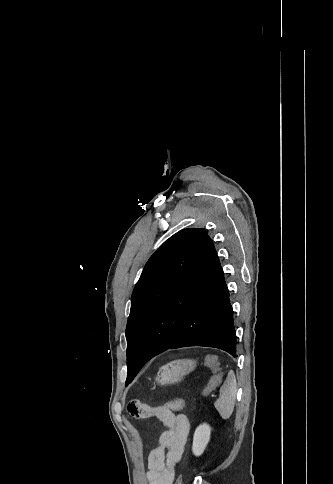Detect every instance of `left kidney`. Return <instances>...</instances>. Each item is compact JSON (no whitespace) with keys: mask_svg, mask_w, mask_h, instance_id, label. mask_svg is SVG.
I'll list each match as a JSON object with an SVG mask.
<instances>
[{"mask_svg":"<svg viewBox=\"0 0 333 484\" xmlns=\"http://www.w3.org/2000/svg\"><path fill=\"white\" fill-rule=\"evenodd\" d=\"M210 434L211 427L208 424L204 423L197 427L192 444V451L195 456H200L204 452L210 440Z\"/></svg>","mask_w":333,"mask_h":484,"instance_id":"1","label":"left kidney"}]
</instances>
